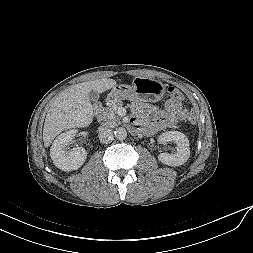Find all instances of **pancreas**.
Instances as JSON below:
<instances>
[{
	"instance_id": "pancreas-1",
	"label": "pancreas",
	"mask_w": 253,
	"mask_h": 253,
	"mask_svg": "<svg viewBox=\"0 0 253 253\" xmlns=\"http://www.w3.org/2000/svg\"><path fill=\"white\" fill-rule=\"evenodd\" d=\"M123 105L122 102L112 104L109 107H105L101 110L99 119L102 123L109 127H115L120 125V117L117 115V110Z\"/></svg>"
}]
</instances>
